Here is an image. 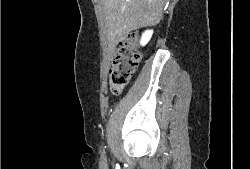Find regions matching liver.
<instances>
[{
	"mask_svg": "<svg viewBox=\"0 0 250 169\" xmlns=\"http://www.w3.org/2000/svg\"><path fill=\"white\" fill-rule=\"evenodd\" d=\"M165 2L166 0H102L110 50L131 30L158 24L163 16Z\"/></svg>",
	"mask_w": 250,
	"mask_h": 169,
	"instance_id": "obj_1",
	"label": "liver"
}]
</instances>
